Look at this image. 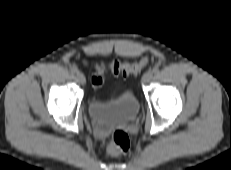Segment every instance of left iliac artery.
Here are the masks:
<instances>
[{"instance_id":"1","label":"left iliac artery","mask_w":231,"mask_h":170,"mask_svg":"<svg viewBox=\"0 0 231 170\" xmlns=\"http://www.w3.org/2000/svg\"><path fill=\"white\" fill-rule=\"evenodd\" d=\"M153 72H154V73H158V72H159V67H158V66H155V67L153 68Z\"/></svg>"}]
</instances>
